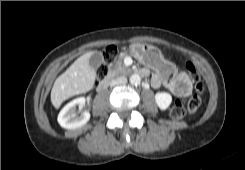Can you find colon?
I'll return each mask as SVG.
<instances>
[{
    "label": "colon",
    "mask_w": 245,
    "mask_h": 170,
    "mask_svg": "<svg viewBox=\"0 0 245 170\" xmlns=\"http://www.w3.org/2000/svg\"><path fill=\"white\" fill-rule=\"evenodd\" d=\"M117 56V49L115 47H107L104 52L103 62L97 70V79H103L113 62L115 61ZM187 70L194 82V93L190 97L187 105V109L181 102H176L171 110V116L176 120H181L188 113H194L197 111L201 104L202 95L204 93V84L200 75L196 72L195 67L191 64H187ZM173 88H175V83L173 84Z\"/></svg>",
    "instance_id": "obj_1"
}]
</instances>
